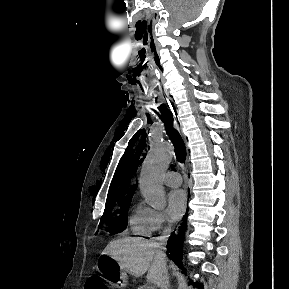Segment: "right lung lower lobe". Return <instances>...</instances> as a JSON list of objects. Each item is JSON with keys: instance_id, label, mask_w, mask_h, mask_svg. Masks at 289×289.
<instances>
[{"instance_id": "1", "label": "right lung lower lobe", "mask_w": 289, "mask_h": 289, "mask_svg": "<svg viewBox=\"0 0 289 289\" xmlns=\"http://www.w3.org/2000/svg\"><path fill=\"white\" fill-rule=\"evenodd\" d=\"M186 228V219H184V224L181 225L180 230L171 234L167 246L168 257L179 267H182L183 241Z\"/></svg>"}]
</instances>
